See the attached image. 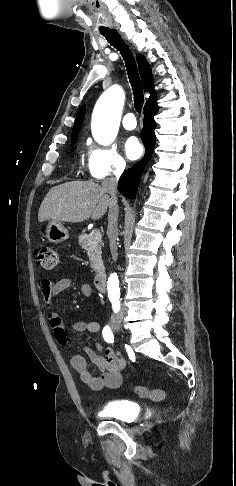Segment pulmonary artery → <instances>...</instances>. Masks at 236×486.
<instances>
[{
	"label": "pulmonary artery",
	"instance_id": "obj_1",
	"mask_svg": "<svg viewBox=\"0 0 236 486\" xmlns=\"http://www.w3.org/2000/svg\"><path fill=\"white\" fill-rule=\"evenodd\" d=\"M122 125L127 130L135 129L137 122L133 113H127L122 119Z\"/></svg>",
	"mask_w": 236,
	"mask_h": 486
}]
</instances>
